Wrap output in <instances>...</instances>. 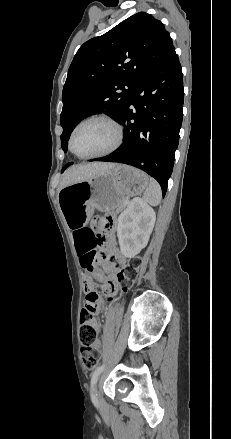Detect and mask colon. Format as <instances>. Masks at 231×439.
Returning a JSON list of instances; mask_svg holds the SVG:
<instances>
[{"label":"colon","mask_w":231,"mask_h":439,"mask_svg":"<svg viewBox=\"0 0 231 439\" xmlns=\"http://www.w3.org/2000/svg\"><path fill=\"white\" fill-rule=\"evenodd\" d=\"M113 225V218L106 217L101 219V228L106 231ZM98 241H105V234H99ZM96 252L86 254L82 260L83 268L93 274H98L94 267ZM141 260L138 257L132 258L127 263L121 266L120 271L115 277L116 282L123 288L127 289L132 282L137 278ZM100 329V323L94 310L83 308L80 316V343L83 363L86 368L93 369L98 363V352L93 347L96 343Z\"/></svg>","instance_id":"colon-1"}]
</instances>
